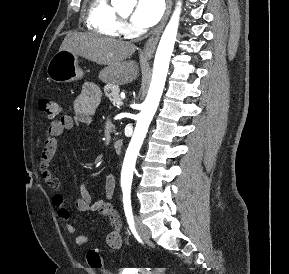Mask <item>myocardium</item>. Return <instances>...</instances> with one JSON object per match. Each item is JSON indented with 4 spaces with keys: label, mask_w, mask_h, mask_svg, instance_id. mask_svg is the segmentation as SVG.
<instances>
[{
    "label": "myocardium",
    "mask_w": 289,
    "mask_h": 274,
    "mask_svg": "<svg viewBox=\"0 0 289 274\" xmlns=\"http://www.w3.org/2000/svg\"><path fill=\"white\" fill-rule=\"evenodd\" d=\"M118 17H119V19H120L121 21H126V20H127V17L122 16L121 14H119Z\"/></svg>",
    "instance_id": "f54148a6"
}]
</instances>
